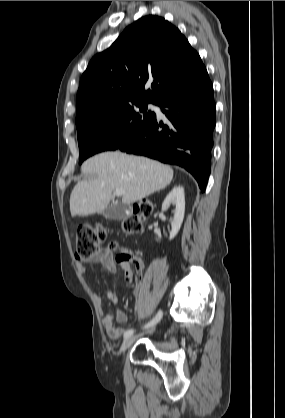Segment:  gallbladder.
<instances>
[{
	"label": "gallbladder",
	"instance_id": "1",
	"mask_svg": "<svg viewBox=\"0 0 285 418\" xmlns=\"http://www.w3.org/2000/svg\"><path fill=\"white\" fill-rule=\"evenodd\" d=\"M124 205L123 204H111L104 210L100 211L106 219L119 220L124 216Z\"/></svg>",
	"mask_w": 285,
	"mask_h": 418
}]
</instances>
